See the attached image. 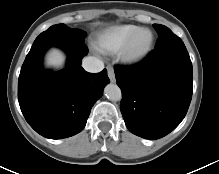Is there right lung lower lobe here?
<instances>
[{"label":"right lung lower lobe","instance_id":"right-lung-lower-lobe-1","mask_svg":"<svg viewBox=\"0 0 219 174\" xmlns=\"http://www.w3.org/2000/svg\"><path fill=\"white\" fill-rule=\"evenodd\" d=\"M51 46L63 49L67 65L61 71H45L44 53ZM88 53L84 43H57L29 51L18 80V101L28 124L49 139L73 136L85 127L94 103L110 82L107 71L92 74L81 67Z\"/></svg>","mask_w":219,"mask_h":174}]
</instances>
